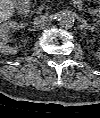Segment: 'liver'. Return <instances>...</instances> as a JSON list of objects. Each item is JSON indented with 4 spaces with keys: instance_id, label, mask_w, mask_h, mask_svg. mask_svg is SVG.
<instances>
[{
    "instance_id": "obj_1",
    "label": "liver",
    "mask_w": 100,
    "mask_h": 118,
    "mask_svg": "<svg viewBox=\"0 0 100 118\" xmlns=\"http://www.w3.org/2000/svg\"><path fill=\"white\" fill-rule=\"evenodd\" d=\"M1 20L9 19L15 11L13 0H0Z\"/></svg>"
}]
</instances>
